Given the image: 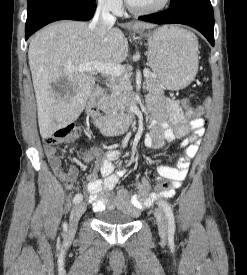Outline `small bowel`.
<instances>
[{"instance_id":"small-bowel-1","label":"small bowel","mask_w":247,"mask_h":275,"mask_svg":"<svg viewBox=\"0 0 247 275\" xmlns=\"http://www.w3.org/2000/svg\"><path fill=\"white\" fill-rule=\"evenodd\" d=\"M147 106L153 115L150 131L144 136V145L147 148L160 149L166 143H173L177 138L190 133L182 142L184 155L178 159L176 167H157L159 179L171 180V187L163 192L150 193L148 182L140 179L135 185L136 193L128 189L115 190L119 179L124 175L123 170L116 172L114 169V161L118 158L119 152L115 149L100 148L86 150L82 153L83 161L96 163L94 171L87 176V200L97 212L115 209L137 215L157 198L172 197L187 176L190 161L196 156L201 136L204 134V119L196 117L189 120L177 102L156 94L147 97ZM45 153L58 179L68 189H74L73 183L78 177L77 168L71 166L67 170L63 169L62 160L54 146L46 145Z\"/></svg>"}]
</instances>
